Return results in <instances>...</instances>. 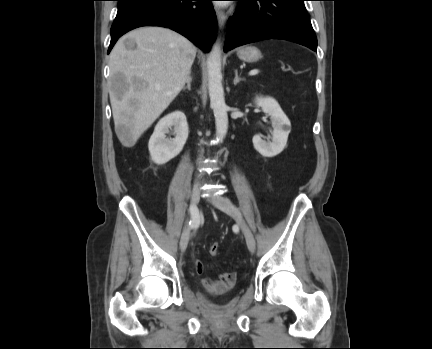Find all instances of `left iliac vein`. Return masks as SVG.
I'll use <instances>...</instances> for the list:
<instances>
[{"label": "left iliac vein", "instance_id": "1", "mask_svg": "<svg viewBox=\"0 0 432 349\" xmlns=\"http://www.w3.org/2000/svg\"><path fill=\"white\" fill-rule=\"evenodd\" d=\"M208 200L215 207L226 212L227 214L233 216L236 219L237 223L239 224V226H240V228H241V230L245 236V240H246V243H247L249 250L251 252H254L255 247H256L254 235H253L251 229L249 228V226L247 225V223L244 221V219L240 215V213L234 208L232 202L228 198L222 197V196H211Z\"/></svg>", "mask_w": 432, "mask_h": 349}]
</instances>
